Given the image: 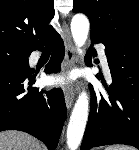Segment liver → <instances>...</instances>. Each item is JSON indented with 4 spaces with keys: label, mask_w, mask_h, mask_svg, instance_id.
Wrapping results in <instances>:
<instances>
[{
    "label": "liver",
    "mask_w": 139,
    "mask_h": 150,
    "mask_svg": "<svg viewBox=\"0 0 139 150\" xmlns=\"http://www.w3.org/2000/svg\"><path fill=\"white\" fill-rule=\"evenodd\" d=\"M0 150H41L38 140L18 131L0 132Z\"/></svg>",
    "instance_id": "1"
}]
</instances>
